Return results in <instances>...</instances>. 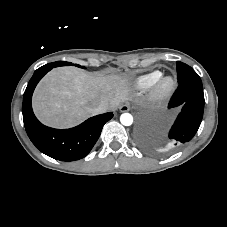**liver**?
<instances>
[{"instance_id": "6515ba94", "label": "liver", "mask_w": 227, "mask_h": 227, "mask_svg": "<svg viewBox=\"0 0 227 227\" xmlns=\"http://www.w3.org/2000/svg\"><path fill=\"white\" fill-rule=\"evenodd\" d=\"M126 77L88 73L74 67L50 71L33 95V110L45 125L67 128L95 115L93 107L104 101L115 109L129 97Z\"/></svg>"}]
</instances>
